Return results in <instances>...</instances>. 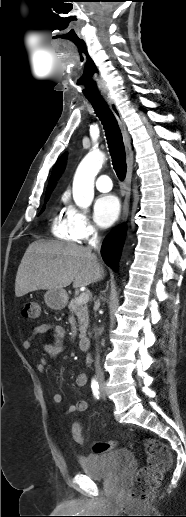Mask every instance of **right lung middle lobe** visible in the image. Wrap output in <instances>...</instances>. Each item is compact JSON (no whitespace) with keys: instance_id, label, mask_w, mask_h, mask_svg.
I'll return each instance as SVG.
<instances>
[{"instance_id":"obj_1","label":"right lung middle lobe","mask_w":186,"mask_h":517,"mask_svg":"<svg viewBox=\"0 0 186 517\" xmlns=\"http://www.w3.org/2000/svg\"><path fill=\"white\" fill-rule=\"evenodd\" d=\"M50 194H51V191L46 193V195H45V203L48 201V199L50 197ZM43 210H41L40 214L43 212Z\"/></svg>"}]
</instances>
